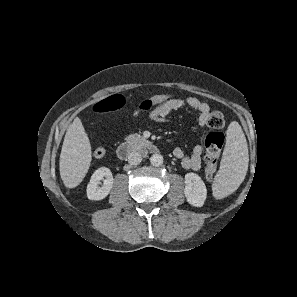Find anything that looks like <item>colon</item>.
<instances>
[{"instance_id": "5ec220e1", "label": "colon", "mask_w": 297, "mask_h": 297, "mask_svg": "<svg viewBox=\"0 0 297 297\" xmlns=\"http://www.w3.org/2000/svg\"><path fill=\"white\" fill-rule=\"evenodd\" d=\"M171 98L170 94H160L153 96L149 99L142 101L139 106L138 110L140 112L147 111L151 109L153 106L162 103ZM126 105V99L124 96L116 94L109 96L100 102H98L93 110L98 114H104L109 112H114L121 110ZM225 124V119L223 114L220 111H213L210 113L207 125L212 131L206 136L204 145H205V177L206 179L211 182L213 181L217 162L219 156L221 154V150L224 144V135L222 132L219 131ZM105 149L102 147H98L94 151V156L97 158H102L105 155Z\"/></svg>"}]
</instances>
